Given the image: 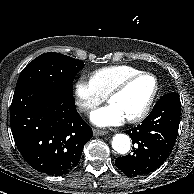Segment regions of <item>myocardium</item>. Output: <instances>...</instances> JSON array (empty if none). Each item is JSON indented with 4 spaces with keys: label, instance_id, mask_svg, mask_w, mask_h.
<instances>
[{
    "label": "myocardium",
    "instance_id": "myocardium-1",
    "mask_svg": "<svg viewBox=\"0 0 194 194\" xmlns=\"http://www.w3.org/2000/svg\"><path fill=\"white\" fill-rule=\"evenodd\" d=\"M144 76H149L151 77L154 82H155V86H154V90L152 92V95L150 96L148 102L146 103L145 107L143 108V110L137 114L134 117L125 119V121L127 123L130 124H134V123H138L141 122L142 120H144L148 114L150 113L152 106L157 98V95L159 93V81L158 78L151 72H147V71H140L136 74H133L131 76L126 77L125 79H123L107 96H106V100L108 103H110L111 99L118 96L119 94H121L128 86L130 83H132L133 81H135L138 78L144 77Z\"/></svg>",
    "mask_w": 194,
    "mask_h": 194
}]
</instances>
